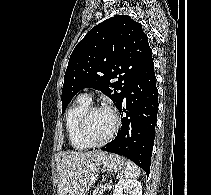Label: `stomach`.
Masks as SVG:
<instances>
[{
    "mask_svg": "<svg viewBox=\"0 0 211 195\" xmlns=\"http://www.w3.org/2000/svg\"><path fill=\"white\" fill-rule=\"evenodd\" d=\"M125 166L126 160L123 157L116 154H105L98 160V166L91 172L88 182L95 183L100 170L112 173L122 170ZM83 195H86V193Z\"/></svg>",
    "mask_w": 211,
    "mask_h": 195,
    "instance_id": "obj_1",
    "label": "stomach"
}]
</instances>
